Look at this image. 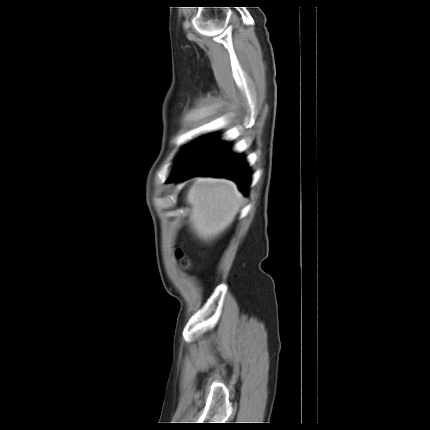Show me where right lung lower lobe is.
<instances>
[{"mask_svg":"<svg viewBox=\"0 0 430 430\" xmlns=\"http://www.w3.org/2000/svg\"><path fill=\"white\" fill-rule=\"evenodd\" d=\"M195 175L225 177L235 181L246 194L251 172L245 158L233 153L229 144L219 141L188 166L171 174L169 182L185 180Z\"/></svg>","mask_w":430,"mask_h":430,"instance_id":"1","label":"right lung lower lobe"}]
</instances>
